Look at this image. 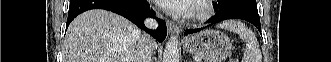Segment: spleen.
<instances>
[{
    "instance_id": "obj_1",
    "label": "spleen",
    "mask_w": 331,
    "mask_h": 62,
    "mask_svg": "<svg viewBox=\"0 0 331 62\" xmlns=\"http://www.w3.org/2000/svg\"><path fill=\"white\" fill-rule=\"evenodd\" d=\"M217 27L229 30L239 35L240 39L246 43L242 62H261L262 55L258 41L254 33L246 28L245 24L239 21L228 20Z\"/></svg>"
}]
</instances>
